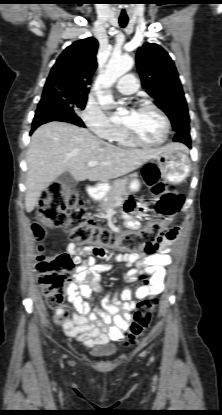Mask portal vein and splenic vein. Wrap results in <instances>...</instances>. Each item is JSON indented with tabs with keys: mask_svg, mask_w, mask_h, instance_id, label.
Wrapping results in <instances>:
<instances>
[{
	"mask_svg": "<svg viewBox=\"0 0 222 415\" xmlns=\"http://www.w3.org/2000/svg\"><path fill=\"white\" fill-rule=\"evenodd\" d=\"M100 163L98 162V161H89L88 163H87V166L88 167H94V166H97V165H99Z\"/></svg>",
	"mask_w": 222,
	"mask_h": 415,
	"instance_id": "obj_1",
	"label": "portal vein and splenic vein"
}]
</instances>
